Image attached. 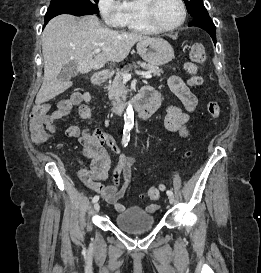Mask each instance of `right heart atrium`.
I'll use <instances>...</instances> for the list:
<instances>
[{
    "mask_svg": "<svg viewBox=\"0 0 261 273\" xmlns=\"http://www.w3.org/2000/svg\"><path fill=\"white\" fill-rule=\"evenodd\" d=\"M98 8L106 24L119 26L122 0H98Z\"/></svg>",
    "mask_w": 261,
    "mask_h": 273,
    "instance_id": "d8ad5b80",
    "label": "right heart atrium"
}]
</instances>
